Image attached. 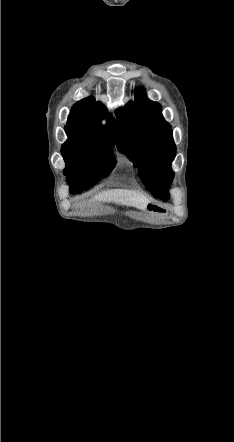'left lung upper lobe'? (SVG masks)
<instances>
[{
    "mask_svg": "<svg viewBox=\"0 0 234 442\" xmlns=\"http://www.w3.org/2000/svg\"><path fill=\"white\" fill-rule=\"evenodd\" d=\"M161 111L160 104L150 101L144 90L138 91L134 102L116 111L115 139L118 151L138 167L146 188L155 197L167 199L176 147Z\"/></svg>",
    "mask_w": 234,
    "mask_h": 442,
    "instance_id": "obj_1",
    "label": "left lung upper lobe"
}]
</instances>
